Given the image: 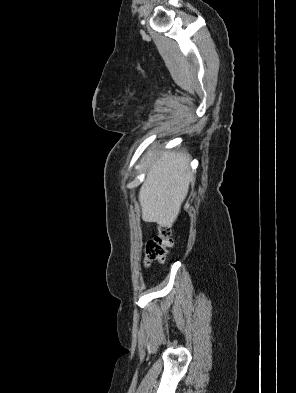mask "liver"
I'll return each mask as SVG.
<instances>
[{
  "label": "liver",
  "instance_id": "obj_1",
  "mask_svg": "<svg viewBox=\"0 0 296 393\" xmlns=\"http://www.w3.org/2000/svg\"><path fill=\"white\" fill-rule=\"evenodd\" d=\"M191 158L183 152L169 151L148 156V172L139 192L142 219L159 226L172 227L180 213L194 174Z\"/></svg>",
  "mask_w": 296,
  "mask_h": 393
}]
</instances>
